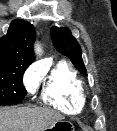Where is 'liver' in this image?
Listing matches in <instances>:
<instances>
[{"label": "liver", "instance_id": "liver-1", "mask_svg": "<svg viewBox=\"0 0 117 131\" xmlns=\"http://www.w3.org/2000/svg\"><path fill=\"white\" fill-rule=\"evenodd\" d=\"M63 116L49 108H0V131H43Z\"/></svg>", "mask_w": 117, "mask_h": 131}]
</instances>
